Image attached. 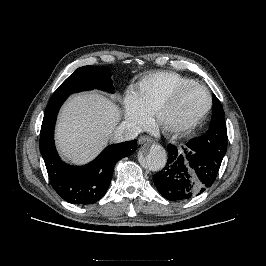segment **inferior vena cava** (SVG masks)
<instances>
[{"label": "inferior vena cava", "instance_id": "inferior-vena-cava-1", "mask_svg": "<svg viewBox=\"0 0 266 266\" xmlns=\"http://www.w3.org/2000/svg\"><path fill=\"white\" fill-rule=\"evenodd\" d=\"M141 129L129 122H122L113 133V140L116 142H123L135 139Z\"/></svg>", "mask_w": 266, "mask_h": 266}]
</instances>
